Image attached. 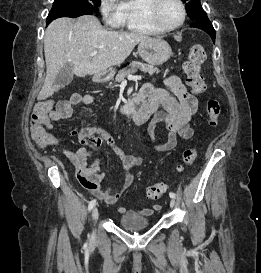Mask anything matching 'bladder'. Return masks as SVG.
Wrapping results in <instances>:
<instances>
[{
    "label": "bladder",
    "instance_id": "bladder-1",
    "mask_svg": "<svg viewBox=\"0 0 261 273\" xmlns=\"http://www.w3.org/2000/svg\"><path fill=\"white\" fill-rule=\"evenodd\" d=\"M151 221L142 215L140 212H127L118 219L120 227L131 230H143L150 226Z\"/></svg>",
    "mask_w": 261,
    "mask_h": 273
}]
</instances>
